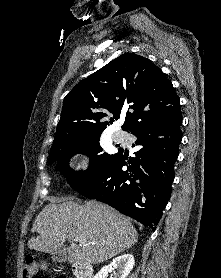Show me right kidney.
Returning a JSON list of instances; mask_svg holds the SVG:
<instances>
[{"label": "right kidney", "instance_id": "right-kidney-1", "mask_svg": "<svg viewBox=\"0 0 221 278\" xmlns=\"http://www.w3.org/2000/svg\"><path fill=\"white\" fill-rule=\"evenodd\" d=\"M134 264L133 255H121L115 258L109 266L103 267L94 278H106L110 270H113V278H126L133 269Z\"/></svg>", "mask_w": 221, "mask_h": 278}]
</instances>
